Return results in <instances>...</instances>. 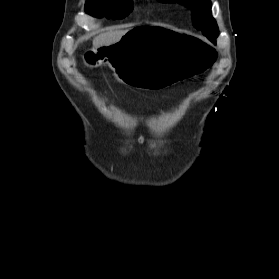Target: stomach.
I'll return each mask as SVG.
<instances>
[{
	"label": "stomach",
	"mask_w": 279,
	"mask_h": 279,
	"mask_svg": "<svg viewBox=\"0 0 279 279\" xmlns=\"http://www.w3.org/2000/svg\"><path fill=\"white\" fill-rule=\"evenodd\" d=\"M106 61L134 91H166L180 82L208 78L214 72L210 65L215 62V52L193 34L165 25H135L116 43L85 50L84 69H100Z\"/></svg>",
	"instance_id": "0dacf381"
}]
</instances>
